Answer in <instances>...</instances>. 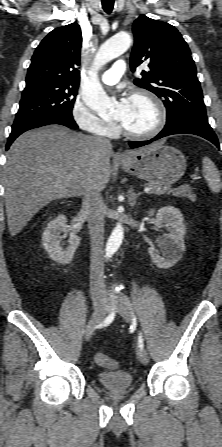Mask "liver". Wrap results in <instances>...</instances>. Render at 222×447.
I'll return each instance as SVG.
<instances>
[{"label": "liver", "instance_id": "6515ba94", "mask_svg": "<svg viewBox=\"0 0 222 447\" xmlns=\"http://www.w3.org/2000/svg\"><path fill=\"white\" fill-rule=\"evenodd\" d=\"M112 156V148L97 138L59 125L19 136L7 153L3 176L10 235H17L51 201L84 195L92 181L105 187Z\"/></svg>", "mask_w": 222, "mask_h": 447}]
</instances>
